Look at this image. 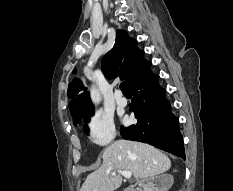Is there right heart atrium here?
I'll return each mask as SVG.
<instances>
[{
  "instance_id": "right-heart-atrium-1",
  "label": "right heart atrium",
  "mask_w": 233,
  "mask_h": 191,
  "mask_svg": "<svg viewBox=\"0 0 233 191\" xmlns=\"http://www.w3.org/2000/svg\"><path fill=\"white\" fill-rule=\"evenodd\" d=\"M88 137L97 146L108 145L115 136V125L111 116L97 112L87 123Z\"/></svg>"
}]
</instances>
